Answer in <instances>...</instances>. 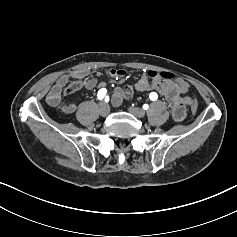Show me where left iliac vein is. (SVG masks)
<instances>
[{
  "label": "left iliac vein",
  "mask_w": 237,
  "mask_h": 237,
  "mask_svg": "<svg viewBox=\"0 0 237 237\" xmlns=\"http://www.w3.org/2000/svg\"><path fill=\"white\" fill-rule=\"evenodd\" d=\"M129 111H130L132 114H134L135 116L139 117V118L144 117L145 114H146V112H145L144 109H142V108H137V107H131V108L129 109Z\"/></svg>",
  "instance_id": "1"
}]
</instances>
